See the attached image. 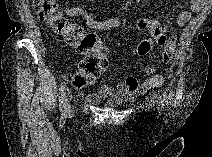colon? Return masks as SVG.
<instances>
[{"mask_svg": "<svg viewBox=\"0 0 212 157\" xmlns=\"http://www.w3.org/2000/svg\"><path fill=\"white\" fill-rule=\"evenodd\" d=\"M34 8L41 21L46 23L53 32L60 35L65 41L77 46L84 58L78 65V70L73 76V85L83 89L93 84L101 72L108 66L107 48L100 38L92 33H87L76 23L67 20L57 2L53 0H36ZM164 36H154L143 39L137 46V54H148L155 43L161 45Z\"/></svg>", "mask_w": 212, "mask_h": 157, "instance_id": "5ec220e1", "label": "colon"}]
</instances>
